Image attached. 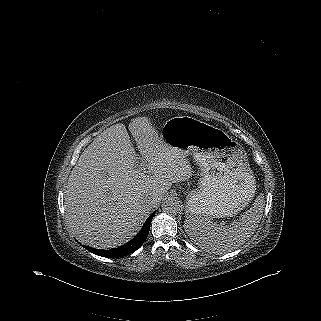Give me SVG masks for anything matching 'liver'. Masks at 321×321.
Listing matches in <instances>:
<instances>
[{
	"label": "liver",
	"mask_w": 321,
	"mask_h": 321,
	"mask_svg": "<svg viewBox=\"0 0 321 321\" xmlns=\"http://www.w3.org/2000/svg\"><path fill=\"white\" fill-rule=\"evenodd\" d=\"M104 130L82 152L64 194L68 227L91 247L110 249L132 239L173 183L192 175L188 161L158 136L147 117ZM144 162L145 171L140 170ZM151 197L153 204L145 200Z\"/></svg>",
	"instance_id": "liver-1"
}]
</instances>
